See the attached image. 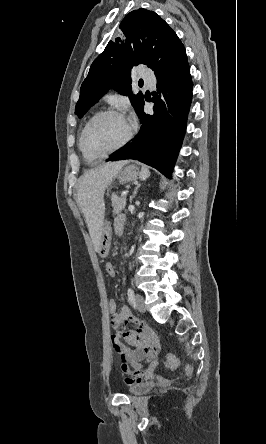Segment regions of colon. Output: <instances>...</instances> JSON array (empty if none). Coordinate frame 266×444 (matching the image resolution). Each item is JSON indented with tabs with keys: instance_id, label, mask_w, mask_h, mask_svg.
<instances>
[{
	"instance_id": "colon-1",
	"label": "colon",
	"mask_w": 266,
	"mask_h": 444,
	"mask_svg": "<svg viewBox=\"0 0 266 444\" xmlns=\"http://www.w3.org/2000/svg\"><path fill=\"white\" fill-rule=\"evenodd\" d=\"M107 309H108V312L112 316H114L117 313V305H116V302L113 298H110L108 300ZM164 364L166 365L167 368L172 369V368L178 366L179 361L174 355H167L164 358ZM186 371H187L188 375H192L193 374V366L191 364H188L186 367Z\"/></svg>"
}]
</instances>
